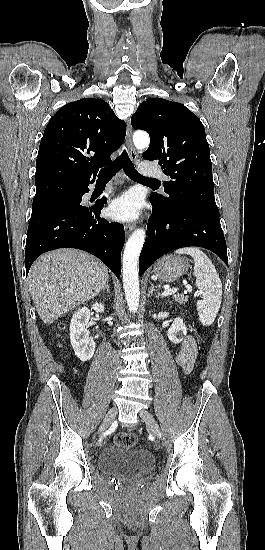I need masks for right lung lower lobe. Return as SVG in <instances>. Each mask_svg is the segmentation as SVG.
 <instances>
[{
    "label": "right lung lower lobe",
    "mask_w": 265,
    "mask_h": 550,
    "mask_svg": "<svg viewBox=\"0 0 265 550\" xmlns=\"http://www.w3.org/2000/svg\"><path fill=\"white\" fill-rule=\"evenodd\" d=\"M88 191V185L79 187L73 200L32 210L25 249L26 276L34 260L42 253L69 247L95 255L120 277L124 227L100 218L105 198L91 207L81 205V198Z\"/></svg>",
    "instance_id": "right-lung-lower-lobe-1"
}]
</instances>
